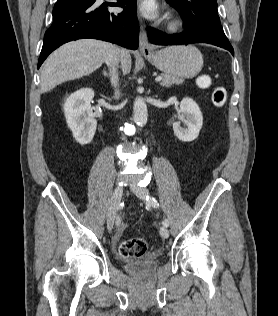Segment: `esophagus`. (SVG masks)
Here are the masks:
<instances>
[{"label":"esophagus","instance_id":"34e87169","mask_svg":"<svg viewBox=\"0 0 278 316\" xmlns=\"http://www.w3.org/2000/svg\"><path fill=\"white\" fill-rule=\"evenodd\" d=\"M141 1V0H139ZM140 31H139V50L143 55H150L153 53V48L151 47L150 43L148 42L147 33L145 26L142 22L141 17L138 15Z\"/></svg>","mask_w":278,"mask_h":316}]
</instances>
